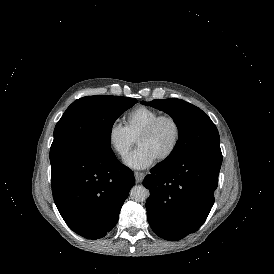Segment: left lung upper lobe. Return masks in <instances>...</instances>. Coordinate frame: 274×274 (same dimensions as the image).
I'll return each mask as SVG.
<instances>
[{
  "mask_svg": "<svg viewBox=\"0 0 274 274\" xmlns=\"http://www.w3.org/2000/svg\"><path fill=\"white\" fill-rule=\"evenodd\" d=\"M142 104L169 114L178 127L179 139L163 163L170 164L204 150H220L216 126L198 107L181 99H155Z\"/></svg>",
  "mask_w": 274,
  "mask_h": 274,
  "instance_id": "1",
  "label": "left lung upper lobe"
}]
</instances>
